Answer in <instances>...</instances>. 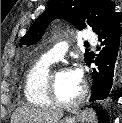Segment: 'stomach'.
Wrapping results in <instances>:
<instances>
[{"instance_id": "0dacf381", "label": "stomach", "mask_w": 122, "mask_h": 123, "mask_svg": "<svg viewBox=\"0 0 122 123\" xmlns=\"http://www.w3.org/2000/svg\"><path fill=\"white\" fill-rule=\"evenodd\" d=\"M86 120L85 115L82 113L73 115V116H66L59 120L57 123H84Z\"/></svg>"}]
</instances>
